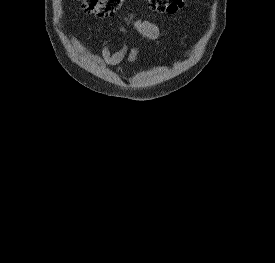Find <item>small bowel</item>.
I'll use <instances>...</instances> for the list:
<instances>
[{
  "label": "small bowel",
  "mask_w": 275,
  "mask_h": 263,
  "mask_svg": "<svg viewBox=\"0 0 275 263\" xmlns=\"http://www.w3.org/2000/svg\"><path fill=\"white\" fill-rule=\"evenodd\" d=\"M129 24L132 25L142 36L156 40L160 35V30L156 24L148 20L138 19L133 13L128 16ZM120 32L124 36V41L120 49L115 52H111L109 48V41L107 39L102 40L101 54H95L92 52H86L88 58L100 67L118 66L127 55V64L135 62L139 49L133 47L128 49V31L126 27L120 26ZM122 68H119L121 70Z\"/></svg>",
  "instance_id": "1"
}]
</instances>
